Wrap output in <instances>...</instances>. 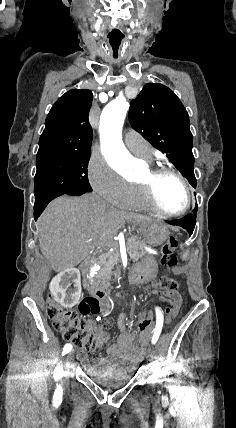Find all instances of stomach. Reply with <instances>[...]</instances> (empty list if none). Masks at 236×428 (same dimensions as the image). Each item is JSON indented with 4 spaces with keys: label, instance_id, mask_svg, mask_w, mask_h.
<instances>
[{
    "label": "stomach",
    "instance_id": "stomach-1",
    "mask_svg": "<svg viewBox=\"0 0 236 428\" xmlns=\"http://www.w3.org/2000/svg\"><path fill=\"white\" fill-rule=\"evenodd\" d=\"M143 240L150 246H161L170 236V232L160 220H154L142 228ZM157 260L154 256H144L138 264L131 265V274L126 276V281L131 286L139 287L152 283L157 275Z\"/></svg>",
    "mask_w": 236,
    "mask_h": 428
}]
</instances>
